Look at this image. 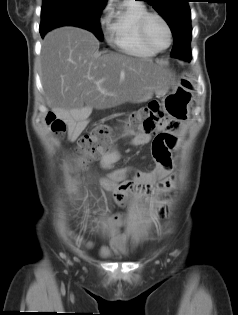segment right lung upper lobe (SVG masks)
<instances>
[{
	"label": "right lung upper lobe",
	"instance_id": "1",
	"mask_svg": "<svg viewBox=\"0 0 238 315\" xmlns=\"http://www.w3.org/2000/svg\"><path fill=\"white\" fill-rule=\"evenodd\" d=\"M97 1H101V2H104V3H106V0H97Z\"/></svg>",
	"mask_w": 238,
	"mask_h": 315
}]
</instances>
